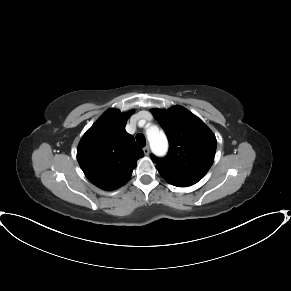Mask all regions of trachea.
Here are the masks:
<instances>
[{"instance_id":"trachea-1","label":"trachea","mask_w":291,"mask_h":291,"mask_svg":"<svg viewBox=\"0 0 291 291\" xmlns=\"http://www.w3.org/2000/svg\"><path fill=\"white\" fill-rule=\"evenodd\" d=\"M136 140H137V143L141 146V147H145L146 145V139H145V136L142 134V133H138L136 135Z\"/></svg>"}]
</instances>
